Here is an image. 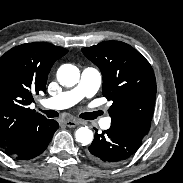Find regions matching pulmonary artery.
Wrapping results in <instances>:
<instances>
[{"instance_id": "1", "label": "pulmonary artery", "mask_w": 183, "mask_h": 183, "mask_svg": "<svg viewBox=\"0 0 183 183\" xmlns=\"http://www.w3.org/2000/svg\"><path fill=\"white\" fill-rule=\"evenodd\" d=\"M101 84V74L95 68H86L81 74L79 83L72 89L64 91L57 96L44 99L41 104L52 109H64L75 105L86 97H92L99 89ZM104 128L110 127V119L107 118L103 123Z\"/></svg>"}]
</instances>
